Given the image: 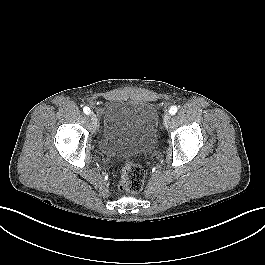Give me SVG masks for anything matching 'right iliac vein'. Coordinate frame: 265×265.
Wrapping results in <instances>:
<instances>
[{
    "label": "right iliac vein",
    "instance_id": "right-iliac-vein-1",
    "mask_svg": "<svg viewBox=\"0 0 265 265\" xmlns=\"http://www.w3.org/2000/svg\"><path fill=\"white\" fill-rule=\"evenodd\" d=\"M90 117L92 121L93 131H95L97 127L99 126V121L97 119V116L94 113H91Z\"/></svg>",
    "mask_w": 265,
    "mask_h": 265
}]
</instances>
